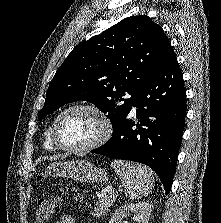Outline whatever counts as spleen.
Masks as SVG:
<instances>
[{"label": "spleen", "instance_id": "obj_1", "mask_svg": "<svg viewBox=\"0 0 221 223\" xmlns=\"http://www.w3.org/2000/svg\"><path fill=\"white\" fill-rule=\"evenodd\" d=\"M111 166L120 177L126 196L131 200L140 199L151 192L155 181L148 167L121 160L112 161Z\"/></svg>", "mask_w": 221, "mask_h": 223}]
</instances>
